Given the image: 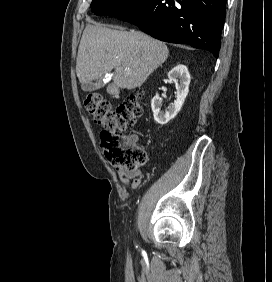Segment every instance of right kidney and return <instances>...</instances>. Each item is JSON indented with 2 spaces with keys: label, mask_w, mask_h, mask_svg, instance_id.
I'll return each mask as SVG.
<instances>
[{
  "label": "right kidney",
  "mask_w": 272,
  "mask_h": 282,
  "mask_svg": "<svg viewBox=\"0 0 272 282\" xmlns=\"http://www.w3.org/2000/svg\"><path fill=\"white\" fill-rule=\"evenodd\" d=\"M168 78L170 81L175 83L177 99L174 103H171L168 106L165 112L161 110L162 99L157 93L151 101L154 119L160 125L167 124L178 114L189 93L191 77L185 65L179 64L175 66L171 71H169Z\"/></svg>",
  "instance_id": "right-kidney-1"
}]
</instances>
